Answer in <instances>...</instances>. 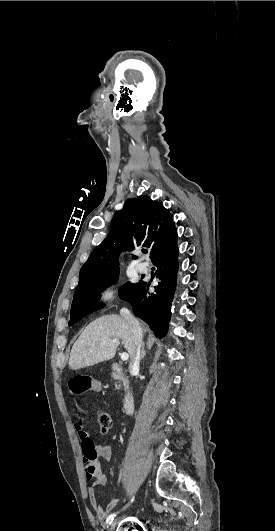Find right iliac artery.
<instances>
[{
    "instance_id": "obj_1",
    "label": "right iliac artery",
    "mask_w": 275,
    "mask_h": 531,
    "mask_svg": "<svg viewBox=\"0 0 275 531\" xmlns=\"http://www.w3.org/2000/svg\"><path fill=\"white\" fill-rule=\"evenodd\" d=\"M116 516L115 513L111 514L108 516V518L106 519V524L107 525H110L112 523V521L114 520V517Z\"/></svg>"
}]
</instances>
